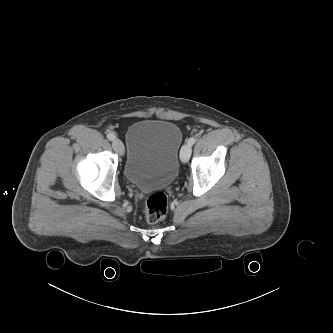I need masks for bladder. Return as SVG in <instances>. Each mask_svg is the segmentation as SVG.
Returning <instances> with one entry per match:
<instances>
[{"label": "bladder", "instance_id": "bladder-1", "mask_svg": "<svg viewBox=\"0 0 333 333\" xmlns=\"http://www.w3.org/2000/svg\"><path fill=\"white\" fill-rule=\"evenodd\" d=\"M181 127L168 120H140L126 134L124 174L141 190L162 189L173 183L179 171Z\"/></svg>", "mask_w": 333, "mask_h": 333}]
</instances>
